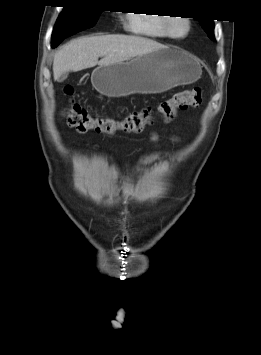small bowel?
<instances>
[{
    "mask_svg": "<svg viewBox=\"0 0 261 355\" xmlns=\"http://www.w3.org/2000/svg\"><path fill=\"white\" fill-rule=\"evenodd\" d=\"M149 139L152 143H157L159 140V136L156 132H151ZM172 140L177 142V141H179V138L174 135V136H172Z\"/></svg>",
    "mask_w": 261,
    "mask_h": 355,
    "instance_id": "1",
    "label": "small bowel"
}]
</instances>
